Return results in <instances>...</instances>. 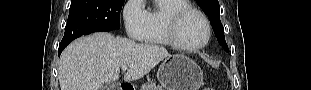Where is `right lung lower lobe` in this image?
I'll return each mask as SVG.
<instances>
[{"label":"right lung lower lobe","mask_w":311,"mask_h":90,"mask_svg":"<svg viewBox=\"0 0 311 90\" xmlns=\"http://www.w3.org/2000/svg\"><path fill=\"white\" fill-rule=\"evenodd\" d=\"M69 43H70V42H68V43H60L59 49H58L59 55L61 54V52L63 51V49H64Z\"/></svg>","instance_id":"1"}]
</instances>
